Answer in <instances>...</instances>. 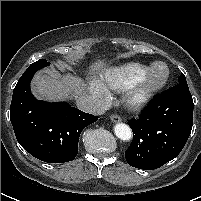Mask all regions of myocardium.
<instances>
[{
	"label": "myocardium",
	"mask_w": 201,
	"mask_h": 201,
	"mask_svg": "<svg viewBox=\"0 0 201 201\" xmlns=\"http://www.w3.org/2000/svg\"><path fill=\"white\" fill-rule=\"evenodd\" d=\"M164 65L166 69L165 76L157 83H149L148 76L156 65ZM170 78L169 66L163 61H157L151 64L148 69L135 80L127 89H125L124 102L132 110H141L148 106L155 96L168 83Z\"/></svg>",
	"instance_id": "obj_1"
}]
</instances>
